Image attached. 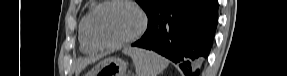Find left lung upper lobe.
Here are the masks:
<instances>
[{
	"instance_id": "obj_1",
	"label": "left lung upper lobe",
	"mask_w": 287,
	"mask_h": 76,
	"mask_svg": "<svg viewBox=\"0 0 287 76\" xmlns=\"http://www.w3.org/2000/svg\"><path fill=\"white\" fill-rule=\"evenodd\" d=\"M135 1L143 8V10L149 16L152 12H154L157 8L161 7L169 0H135Z\"/></svg>"
}]
</instances>
